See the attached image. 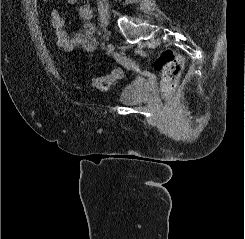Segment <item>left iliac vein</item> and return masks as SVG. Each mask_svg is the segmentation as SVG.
I'll return each instance as SVG.
<instances>
[{"label":"left iliac vein","mask_w":245,"mask_h":239,"mask_svg":"<svg viewBox=\"0 0 245 239\" xmlns=\"http://www.w3.org/2000/svg\"><path fill=\"white\" fill-rule=\"evenodd\" d=\"M113 51H114V45H113V43L109 42L108 45H107V52L109 54H112Z\"/></svg>","instance_id":"obj_1"}]
</instances>
